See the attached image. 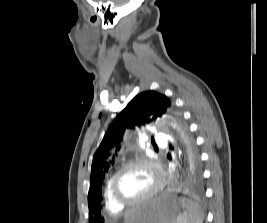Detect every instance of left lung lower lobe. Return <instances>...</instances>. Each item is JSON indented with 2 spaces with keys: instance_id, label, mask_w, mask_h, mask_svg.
I'll list each match as a JSON object with an SVG mask.
<instances>
[{
  "instance_id": "obj_1",
  "label": "left lung lower lobe",
  "mask_w": 267,
  "mask_h": 223,
  "mask_svg": "<svg viewBox=\"0 0 267 223\" xmlns=\"http://www.w3.org/2000/svg\"><path fill=\"white\" fill-rule=\"evenodd\" d=\"M183 176H189V178L191 179V180L186 181V189H200L199 181H201L202 176H204V171H183ZM166 181L167 182H180L181 178L180 177H167Z\"/></svg>"
}]
</instances>
